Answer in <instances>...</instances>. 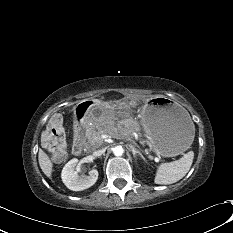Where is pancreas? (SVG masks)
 Segmentation results:
<instances>
[{
    "label": "pancreas",
    "mask_w": 233,
    "mask_h": 233,
    "mask_svg": "<svg viewBox=\"0 0 233 233\" xmlns=\"http://www.w3.org/2000/svg\"><path fill=\"white\" fill-rule=\"evenodd\" d=\"M137 130L138 127L135 125L134 127L127 128L125 132L119 133L118 128L114 126L112 120H103L87 127L85 134L86 145L90 149H95L104 143L102 138L103 134H108L116 138H127L133 131Z\"/></svg>",
    "instance_id": "cf45deb5"
}]
</instances>
